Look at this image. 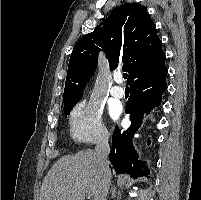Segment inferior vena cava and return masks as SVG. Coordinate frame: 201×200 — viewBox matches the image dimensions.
<instances>
[{
    "label": "inferior vena cava",
    "mask_w": 201,
    "mask_h": 200,
    "mask_svg": "<svg viewBox=\"0 0 201 200\" xmlns=\"http://www.w3.org/2000/svg\"><path fill=\"white\" fill-rule=\"evenodd\" d=\"M109 152H110L109 136L104 135L98 141L95 148L97 161L103 174L101 195L99 197V200H106L107 194H108V187L110 183V179H109L110 170H109V161H108Z\"/></svg>",
    "instance_id": "602c4592"
}]
</instances>
